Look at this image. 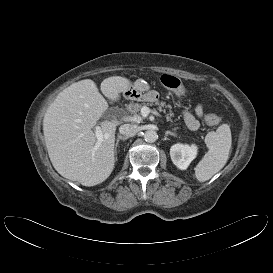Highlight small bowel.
I'll return each mask as SVG.
<instances>
[{"label": "small bowel", "instance_id": "small-bowel-1", "mask_svg": "<svg viewBox=\"0 0 273 273\" xmlns=\"http://www.w3.org/2000/svg\"><path fill=\"white\" fill-rule=\"evenodd\" d=\"M204 117L203 106L198 104L195 109V115L189 111L183 112V118L187 127L191 130H196L200 126V119Z\"/></svg>", "mask_w": 273, "mask_h": 273}]
</instances>
